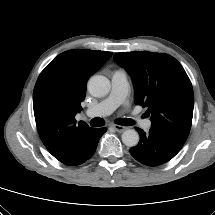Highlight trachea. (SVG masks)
I'll return each instance as SVG.
<instances>
[{
    "instance_id": "obj_1",
    "label": "trachea",
    "mask_w": 215,
    "mask_h": 215,
    "mask_svg": "<svg viewBox=\"0 0 215 215\" xmlns=\"http://www.w3.org/2000/svg\"><path fill=\"white\" fill-rule=\"evenodd\" d=\"M115 123L122 126H130L134 124L133 120L127 118H119L115 121ZM104 124V120L101 118H94L90 121V125L93 127H100Z\"/></svg>"
}]
</instances>
